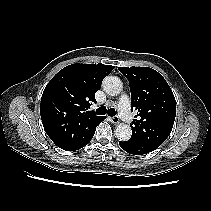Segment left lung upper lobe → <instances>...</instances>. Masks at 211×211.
<instances>
[{
    "mask_svg": "<svg viewBox=\"0 0 211 211\" xmlns=\"http://www.w3.org/2000/svg\"><path fill=\"white\" fill-rule=\"evenodd\" d=\"M128 79L131 109L137 110L130 140L158 148L172 131L176 116V102L166 80L149 67H119ZM136 116V117H137Z\"/></svg>",
    "mask_w": 211,
    "mask_h": 211,
    "instance_id": "obj_1",
    "label": "left lung upper lobe"
}]
</instances>
